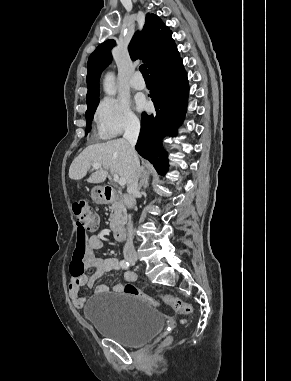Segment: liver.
Here are the masks:
<instances>
[{"label":"liver","mask_w":291,"mask_h":381,"mask_svg":"<svg viewBox=\"0 0 291 381\" xmlns=\"http://www.w3.org/2000/svg\"><path fill=\"white\" fill-rule=\"evenodd\" d=\"M130 150V144L125 139L89 145L73 160L69 168V177L73 180L82 179L94 163H99L102 168L100 167V170L94 172L87 179L88 182H104L108 176V170H110L111 173H117L120 178L125 179V184L129 186L135 174ZM138 171L140 175L143 167L139 165Z\"/></svg>","instance_id":"obj_1"}]
</instances>
